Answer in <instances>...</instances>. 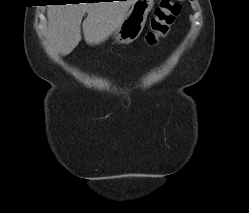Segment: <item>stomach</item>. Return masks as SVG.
Here are the masks:
<instances>
[{
  "label": "stomach",
  "instance_id": "obj_1",
  "mask_svg": "<svg viewBox=\"0 0 249 213\" xmlns=\"http://www.w3.org/2000/svg\"><path fill=\"white\" fill-rule=\"evenodd\" d=\"M153 6V0H135L121 24L113 31L116 42L128 44L137 39Z\"/></svg>",
  "mask_w": 249,
  "mask_h": 213
}]
</instances>
